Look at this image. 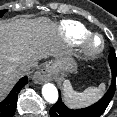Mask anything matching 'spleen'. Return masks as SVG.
Wrapping results in <instances>:
<instances>
[{"instance_id":"3e777b00","label":"spleen","mask_w":117,"mask_h":117,"mask_svg":"<svg viewBox=\"0 0 117 117\" xmlns=\"http://www.w3.org/2000/svg\"><path fill=\"white\" fill-rule=\"evenodd\" d=\"M65 103L73 109L86 107L96 102L105 92L106 85L101 83L98 87H88L83 92L75 91L69 80L63 83Z\"/></svg>"}]
</instances>
